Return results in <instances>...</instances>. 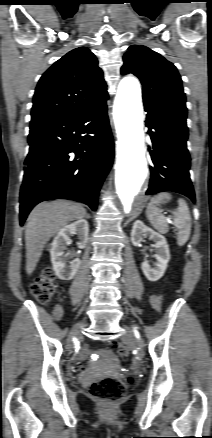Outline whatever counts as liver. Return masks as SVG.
I'll return each mask as SVG.
<instances>
[{"label":"liver","mask_w":212,"mask_h":438,"mask_svg":"<svg viewBox=\"0 0 212 438\" xmlns=\"http://www.w3.org/2000/svg\"><path fill=\"white\" fill-rule=\"evenodd\" d=\"M84 217L86 210L82 205L64 200L42 202L31 211L25 230L28 275L33 273L50 238L71 221Z\"/></svg>","instance_id":"liver-1"}]
</instances>
